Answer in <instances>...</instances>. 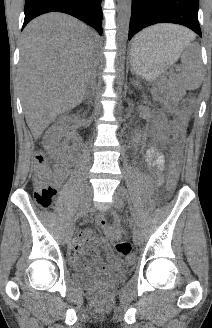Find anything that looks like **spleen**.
Wrapping results in <instances>:
<instances>
[{
    "instance_id": "3e777b00",
    "label": "spleen",
    "mask_w": 212,
    "mask_h": 328,
    "mask_svg": "<svg viewBox=\"0 0 212 328\" xmlns=\"http://www.w3.org/2000/svg\"><path fill=\"white\" fill-rule=\"evenodd\" d=\"M145 32H141L135 38V49L145 48L150 43ZM192 49L195 51L191 52ZM198 52L199 46L195 43L182 56L183 70L178 78L180 85L185 89H197L202 83L203 75Z\"/></svg>"
}]
</instances>
